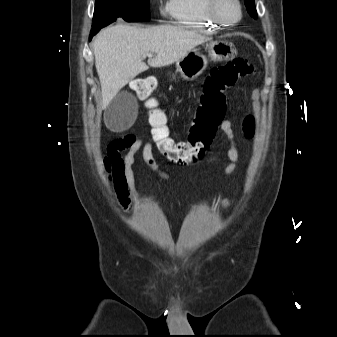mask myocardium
<instances>
[{
	"label": "myocardium",
	"mask_w": 337,
	"mask_h": 337,
	"mask_svg": "<svg viewBox=\"0 0 337 337\" xmlns=\"http://www.w3.org/2000/svg\"><path fill=\"white\" fill-rule=\"evenodd\" d=\"M208 10L211 18L219 24L224 26H234L238 24L243 17V7L240 0H229L234 3L238 11V17L236 19H228L222 12V4L227 0H208Z\"/></svg>",
	"instance_id": "obj_1"
}]
</instances>
